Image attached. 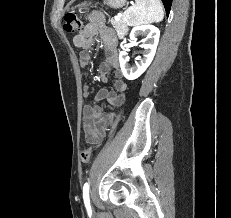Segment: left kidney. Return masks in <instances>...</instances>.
Wrapping results in <instances>:
<instances>
[{
    "label": "left kidney",
    "instance_id": "left-kidney-1",
    "mask_svg": "<svg viewBox=\"0 0 231 218\" xmlns=\"http://www.w3.org/2000/svg\"><path fill=\"white\" fill-rule=\"evenodd\" d=\"M141 34L147 35L146 40H148V42L142 44V48H144L145 51L143 52V58L141 59L139 64H136V66H129L127 52L123 50L119 54V62L122 73L124 77L128 80H134L138 78L141 74H143L144 71L151 64L156 53V48L160 36L159 29L154 25L149 24L136 26L130 32V41L135 40V38Z\"/></svg>",
    "mask_w": 231,
    "mask_h": 218
}]
</instances>
